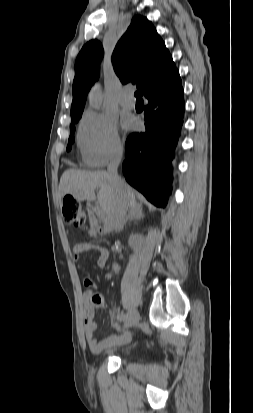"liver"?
<instances>
[{"label": "liver", "mask_w": 253, "mask_h": 413, "mask_svg": "<svg viewBox=\"0 0 253 413\" xmlns=\"http://www.w3.org/2000/svg\"><path fill=\"white\" fill-rule=\"evenodd\" d=\"M123 181V180H122ZM126 192L127 207H140L136 201V196L132 187L123 181ZM97 200L103 212L108 214L113 207L115 191L107 172L96 171L86 172L81 170L70 169L65 171L60 179L58 195L61 204V199L66 194L72 195L78 201H94Z\"/></svg>", "instance_id": "liver-1"}]
</instances>
